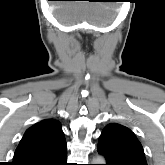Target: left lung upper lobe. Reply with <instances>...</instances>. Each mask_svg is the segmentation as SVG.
<instances>
[{
  "label": "left lung upper lobe",
  "mask_w": 165,
  "mask_h": 165,
  "mask_svg": "<svg viewBox=\"0 0 165 165\" xmlns=\"http://www.w3.org/2000/svg\"><path fill=\"white\" fill-rule=\"evenodd\" d=\"M98 152L106 157V165H147L140 142L120 124L111 123L103 129Z\"/></svg>",
  "instance_id": "5c2ea615"
}]
</instances>
